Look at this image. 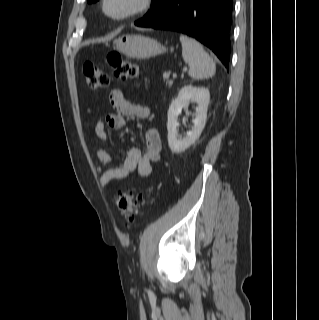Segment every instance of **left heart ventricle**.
<instances>
[{
  "instance_id": "left-heart-ventricle-1",
  "label": "left heart ventricle",
  "mask_w": 319,
  "mask_h": 320,
  "mask_svg": "<svg viewBox=\"0 0 319 320\" xmlns=\"http://www.w3.org/2000/svg\"><path fill=\"white\" fill-rule=\"evenodd\" d=\"M133 1L134 0H110L107 9L114 15H121L133 5Z\"/></svg>"
}]
</instances>
